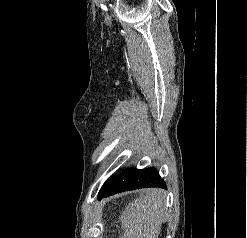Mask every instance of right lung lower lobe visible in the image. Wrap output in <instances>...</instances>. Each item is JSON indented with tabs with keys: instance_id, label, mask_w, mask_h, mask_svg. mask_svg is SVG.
<instances>
[{
	"instance_id": "obj_1",
	"label": "right lung lower lobe",
	"mask_w": 247,
	"mask_h": 238,
	"mask_svg": "<svg viewBox=\"0 0 247 238\" xmlns=\"http://www.w3.org/2000/svg\"><path fill=\"white\" fill-rule=\"evenodd\" d=\"M146 187H165L164 180L161 179L154 167L141 170L128 169L117 177H112L107 187L99 194V199L119 192Z\"/></svg>"
}]
</instances>
